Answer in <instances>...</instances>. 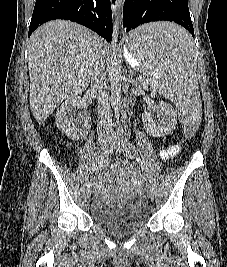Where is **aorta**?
<instances>
[{
	"instance_id": "1",
	"label": "aorta",
	"mask_w": 227,
	"mask_h": 267,
	"mask_svg": "<svg viewBox=\"0 0 227 267\" xmlns=\"http://www.w3.org/2000/svg\"><path fill=\"white\" fill-rule=\"evenodd\" d=\"M120 7L118 6V12L116 13L113 32H112V41H111V55H110V83H111V102L114 107V113L116 119L119 120V109H120V100H121V81H122V72L119 65V59L117 55V41H118V30L121 22Z\"/></svg>"
}]
</instances>
